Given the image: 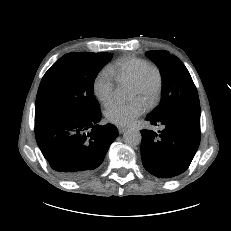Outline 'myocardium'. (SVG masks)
<instances>
[{"instance_id":"f54148a6","label":"myocardium","mask_w":231,"mask_h":231,"mask_svg":"<svg viewBox=\"0 0 231 231\" xmlns=\"http://www.w3.org/2000/svg\"><path fill=\"white\" fill-rule=\"evenodd\" d=\"M154 73L157 77L156 87L150 97L146 100V106L151 108L154 107L160 100L161 94L164 86V74L161 68L157 65L150 64L145 67L138 77L132 82V87L143 90L146 84V81L150 74Z\"/></svg>"}]
</instances>
